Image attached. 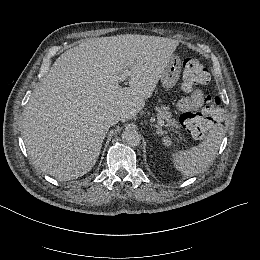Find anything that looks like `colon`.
<instances>
[{
	"instance_id": "obj_1",
	"label": "colon",
	"mask_w": 260,
	"mask_h": 260,
	"mask_svg": "<svg viewBox=\"0 0 260 260\" xmlns=\"http://www.w3.org/2000/svg\"><path fill=\"white\" fill-rule=\"evenodd\" d=\"M183 68L182 87L186 93H192L195 88L204 86L210 80L209 71L197 58H187ZM209 121V114L201 109L185 110L182 114L183 125L190 134L195 136H198L206 128Z\"/></svg>"
}]
</instances>
